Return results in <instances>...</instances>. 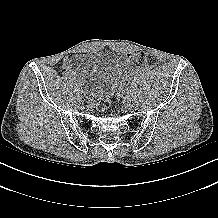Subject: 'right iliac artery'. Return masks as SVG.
Wrapping results in <instances>:
<instances>
[{"label":"right iliac artery","mask_w":218,"mask_h":218,"mask_svg":"<svg viewBox=\"0 0 218 218\" xmlns=\"http://www.w3.org/2000/svg\"><path fill=\"white\" fill-rule=\"evenodd\" d=\"M82 90H85V91H87V88H86V87H83V88H82ZM82 90H81V91H82ZM80 93H81V92H80ZM82 96H83V95H82Z\"/></svg>","instance_id":"1"}]
</instances>
